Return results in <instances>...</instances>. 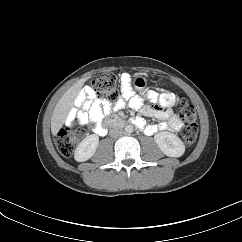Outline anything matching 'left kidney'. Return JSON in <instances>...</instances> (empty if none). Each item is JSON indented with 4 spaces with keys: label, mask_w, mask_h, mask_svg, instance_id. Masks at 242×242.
Returning <instances> with one entry per match:
<instances>
[{
    "label": "left kidney",
    "mask_w": 242,
    "mask_h": 242,
    "mask_svg": "<svg viewBox=\"0 0 242 242\" xmlns=\"http://www.w3.org/2000/svg\"><path fill=\"white\" fill-rule=\"evenodd\" d=\"M154 140L160 150L169 157H180L185 152V145L182 140L171 132L157 133Z\"/></svg>",
    "instance_id": "1"
}]
</instances>
